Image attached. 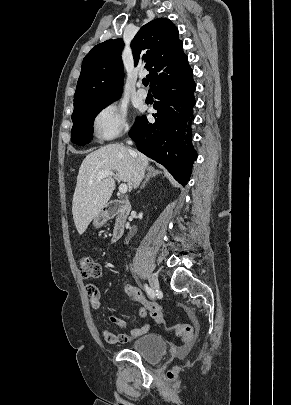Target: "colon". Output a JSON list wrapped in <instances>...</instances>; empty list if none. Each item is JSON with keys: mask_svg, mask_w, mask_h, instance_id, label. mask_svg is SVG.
<instances>
[{"mask_svg": "<svg viewBox=\"0 0 291 405\" xmlns=\"http://www.w3.org/2000/svg\"><path fill=\"white\" fill-rule=\"evenodd\" d=\"M79 273L83 278H98L101 275V266L92 256L84 254L79 258ZM126 292L146 307L150 317L155 322L162 325L166 324L162 308L158 303L147 300L137 288L131 285L126 287ZM88 294L90 299L97 298L99 295L97 287L89 285ZM167 330L174 333L184 342H190L194 338V329L190 324L179 323L167 328ZM168 378H173L172 371L168 372Z\"/></svg>", "mask_w": 291, "mask_h": 405, "instance_id": "1", "label": "colon"}]
</instances>
